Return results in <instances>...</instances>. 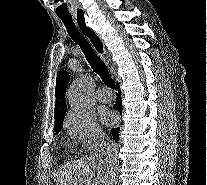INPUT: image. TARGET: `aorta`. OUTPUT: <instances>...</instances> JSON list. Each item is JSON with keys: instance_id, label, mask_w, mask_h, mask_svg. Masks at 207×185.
Segmentation results:
<instances>
[{"instance_id": "obj_1", "label": "aorta", "mask_w": 207, "mask_h": 185, "mask_svg": "<svg viewBox=\"0 0 207 185\" xmlns=\"http://www.w3.org/2000/svg\"><path fill=\"white\" fill-rule=\"evenodd\" d=\"M67 99L73 111L85 110L87 107L86 90L81 78H77L71 83L68 89Z\"/></svg>"}]
</instances>
